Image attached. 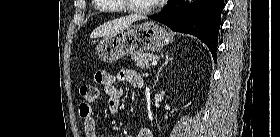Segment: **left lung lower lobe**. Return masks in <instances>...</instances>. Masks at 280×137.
Instances as JSON below:
<instances>
[{"label":"left lung lower lobe","mask_w":280,"mask_h":137,"mask_svg":"<svg viewBox=\"0 0 280 137\" xmlns=\"http://www.w3.org/2000/svg\"><path fill=\"white\" fill-rule=\"evenodd\" d=\"M224 0H169L167 6L151 19L167 25L173 31L194 35L210 49L216 62L218 32Z\"/></svg>","instance_id":"left-lung-lower-lobe-1"}]
</instances>
